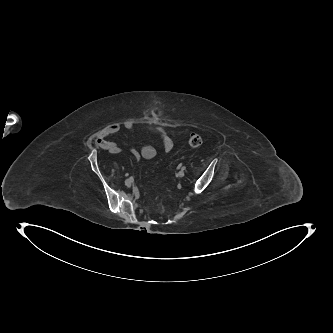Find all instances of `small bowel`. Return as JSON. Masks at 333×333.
Returning <instances> with one entry per match:
<instances>
[{"mask_svg":"<svg viewBox=\"0 0 333 333\" xmlns=\"http://www.w3.org/2000/svg\"><path fill=\"white\" fill-rule=\"evenodd\" d=\"M140 129L144 132L150 133L157 137L166 152L173 150V142L169 136V131L162 126H154L150 124H140ZM124 128L127 131L133 132L135 130V124L133 122L127 121L123 125L121 124H111L105 129L100 131L95 139V144L98 148L107 150L110 154L120 153L119 147L112 141L108 140L110 136H113L121 131ZM156 149L151 144H145L140 149L133 147L131 149V154L136 161H139L141 158L150 160L156 156Z\"/></svg>","mask_w":333,"mask_h":333,"instance_id":"c3829d8e","label":"small bowel"}]
</instances>
